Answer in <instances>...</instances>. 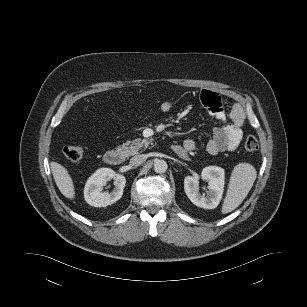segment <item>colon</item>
<instances>
[{
    "label": "colon",
    "mask_w": 307,
    "mask_h": 307,
    "mask_svg": "<svg viewBox=\"0 0 307 307\" xmlns=\"http://www.w3.org/2000/svg\"><path fill=\"white\" fill-rule=\"evenodd\" d=\"M244 147L248 152H254L258 149L259 143L255 136H248L245 140ZM65 158L71 162H78L83 156V150L78 146H66L63 149Z\"/></svg>",
    "instance_id": "colon-1"
}]
</instances>
